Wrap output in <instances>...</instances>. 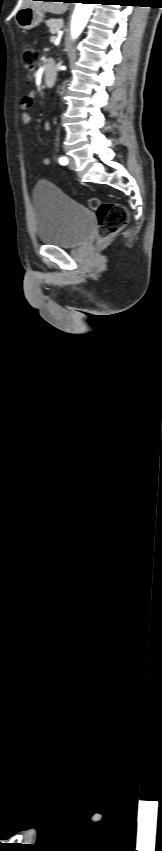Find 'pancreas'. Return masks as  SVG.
Instances as JSON below:
<instances>
[{
	"instance_id": "pancreas-1",
	"label": "pancreas",
	"mask_w": 162,
	"mask_h": 851,
	"mask_svg": "<svg viewBox=\"0 0 162 851\" xmlns=\"http://www.w3.org/2000/svg\"><path fill=\"white\" fill-rule=\"evenodd\" d=\"M46 24L50 28V33L52 35L58 33V31L63 27V21L60 19L48 20Z\"/></svg>"
}]
</instances>
